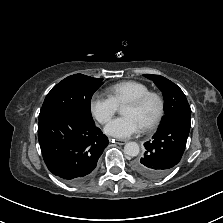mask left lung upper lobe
Wrapping results in <instances>:
<instances>
[{
    "label": "left lung upper lobe",
    "instance_id": "obj_1",
    "mask_svg": "<svg viewBox=\"0 0 223 223\" xmlns=\"http://www.w3.org/2000/svg\"><path fill=\"white\" fill-rule=\"evenodd\" d=\"M145 77L154 81L164 97V116L159 126L180 120L190 124L191 109L182 90L172 81L160 75L145 74Z\"/></svg>",
    "mask_w": 223,
    "mask_h": 223
}]
</instances>
